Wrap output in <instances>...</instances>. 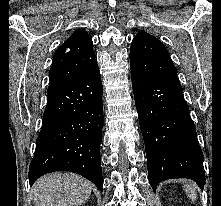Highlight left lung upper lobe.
Returning <instances> with one entry per match:
<instances>
[{
    "label": "left lung upper lobe",
    "instance_id": "obj_1",
    "mask_svg": "<svg viewBox=\"0 0 221 206\" xmlns=\"http://www.w3.org/2000/svg\"><path fill=\"white\" fill-rule=\"evenodd\" d=\"M130 69L131 73L144 77L179 84L168 50L156 37L145 31H140L132 41Z\"/></svg>",
    "mask_w": 221,
    "mask_h": 206
}]
</instances>
